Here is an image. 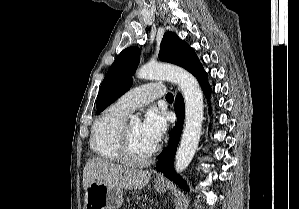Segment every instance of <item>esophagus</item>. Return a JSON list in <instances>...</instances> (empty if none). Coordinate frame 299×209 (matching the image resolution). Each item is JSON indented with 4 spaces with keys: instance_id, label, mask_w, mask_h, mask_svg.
Returning a JSON list of instances; mask_svg holds the SVG:
<instances>
[{
    "instance_id": "obj_1",
    "label": "esophagus",
    "mask_w": 299,
    "mask_h": 209,
    "mask_svg": "<svg viewBox=\"0 0 299 209\" xmlns=\"http://www.w3.org/2000/svg\"><path fill=\"white\" fill-rule=\"evenodd\" d=\"M158 179H159V180H162V178H161V177H158Z\"/></svg>"
}]
</instances>
